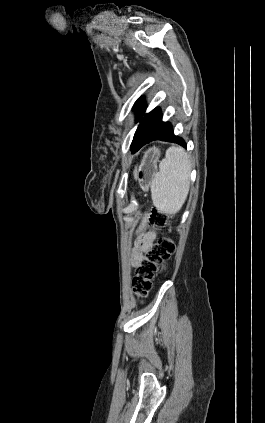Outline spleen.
<instances>
[{
    "mask_svg": "<svg viewBox=\"0 0 265 423\" xmlns=\"http://www.w3.org/2000/svg\"><path fill=\"white\" fill-rule=\"evenodd\" d=\"M190 169V159L184 149L176 146L167 149L150 186L153 205L159 212H179L188 196Z\"/></svg>",
    "mask_w": 265,
    "mask_h": 423,
    "instance_id": "obj_1",
    "label": "spleen"
}]
</instances>
